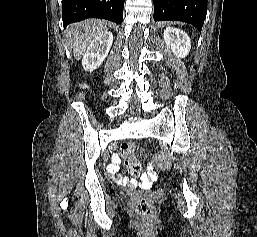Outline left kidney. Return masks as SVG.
Listing matches in <instances>:
<instances>
[{
    "instance_id": "left-kidney-1",
    "label": "left kidney",
    "mask_w": 257,
    "mask_h": 237,
    "mask_svg": "<svg viewBox=\"0 0 257 237\" xmlns=\"http://www.w3.org/2000/svg\"><path fill=\"white\" fill-rule=\"evenodd\" d=\"M163 37L167 47H169L173 54L178 58H184L189 54L191 42L185 32L168 27L164 30Z\"/></svg>"
}]
</instances>
